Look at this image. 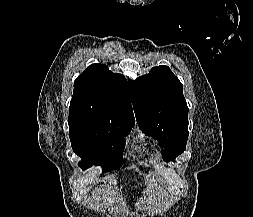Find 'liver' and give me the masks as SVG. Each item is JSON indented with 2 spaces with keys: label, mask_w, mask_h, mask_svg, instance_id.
I'll list each match as a JSON object with an SVG mask.
<instances>
[{
  "label": "liver",
  "mask_w": 253,
  "mask_h": 217,
  "mask_svg": "<svg viewBox=\"0 0 253 217\" xmlns=\"http://www.w3.org/2000/svg\"><path fill=\"white\" fill-rule=\"evenodd\" d=\"M112 203H113L112 199L109 198V196H106L105 198H103L101 206L104 209H107V208H109L112 205Z\"/></svg>",
  "instance_id": "liver-1"
}]
</instances>
